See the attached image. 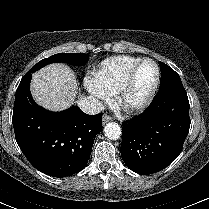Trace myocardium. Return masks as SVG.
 <instances>
[{
    "mask_svg": "<svg viewBox=\"0 0 209 209\" xmlns=\"http://www.w3.org/2000/svg\"><path fill=\"white\" fill-rule=\"evenodd\" d=\"M143 62H150L154 65V67H155L154 84H153L150 92L148 93V95L146 96V98L143 101H141L140 103L135 104V105H130L126 102V94H127V91L131 85L133 74H134L135 70ZM159 85H160V68H159L158 64L151 58H148V57L140 58L139 60H137L135 63H133L129 67V69L127 70V72L120 84V87L117 91V105H118V107L122 111H124L125 113H128V114H136V113L144 111L145 109H147L150 106V104L154 100V98L157 94Z\"/></svg>",
    "mask_w": 209,
    "mask_h": 209,
    "instance_id": "myocardium-1",
    "label": "myocardium"
}]
</instances>
